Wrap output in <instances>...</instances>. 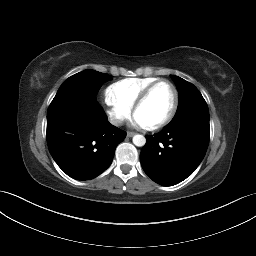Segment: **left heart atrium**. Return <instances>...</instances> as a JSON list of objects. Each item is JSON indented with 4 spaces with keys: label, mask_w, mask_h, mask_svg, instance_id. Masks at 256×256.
Instances as JSON below:
<instances>
[{
    "label": "left heart atrium",
    "mask_w": 256,
    "mask_h": 256,
    "mask_svg": "<svg viewBox=\"0 0 256 256\" xmlns=\"http://www.w3.org/2000/svg\"><path fill=\"white\" fill-rule=\"evenodd\" d=\"M132 125L136 126V127H144V125L141 122V120L138 117H136V116L133 117Z\"/></svg>",
    "instance_id": "left-heart-atrium-1"
}]
</instances>
